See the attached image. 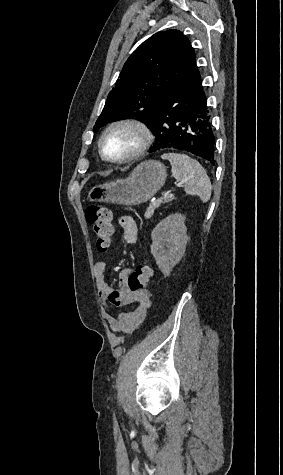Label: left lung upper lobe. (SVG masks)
I'll return each mask as SVG.
<instances>
[{
	"label": "left lung upper lobe",
	"mask_w": 283,
	"mask_h": 475,
	"mask_svg": "<svg viewBox=\"0 0 283 475\" xmlns=\"http://www.w3.org/2000/svg\"><path fill=\"white\" fill-rule=\"evenodd\" d=\"M197 69L191 43L180 31L152 35L127 59L94 131L127 118L140 120L148 127L170 89Z\"/></svg>",
	"instance_id": "left-lung-upper-lobe-1"
}]
</instances>
